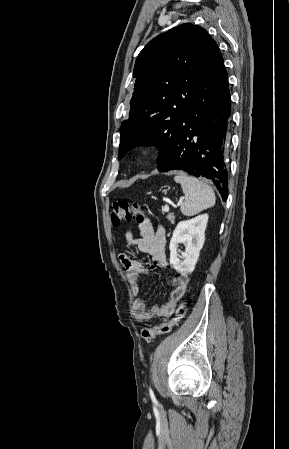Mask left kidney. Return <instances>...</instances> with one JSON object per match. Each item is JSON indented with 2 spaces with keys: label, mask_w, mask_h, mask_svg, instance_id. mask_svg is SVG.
I'll list each match as a JSON object with an SVG mask.
<instances>
[{
  "label": "left kidney",
  "mask_w": 289,
  "mask_h": 449,
  "mask_svg": "<svg viewBox=\"0 0 289 449\" xmlns=\"http://www.w3.org/2000/svg\"><path fill=\"white\" fill-rule=\"evenodd\" d=\"M208 214H201L177 224L170 241V264L181 274L193 272L199 253L204 245ZM185 246V252L178 254V244ZM181 258L182 260H180Z\"/></svg>",
  "instance_id": "left-kidney-1"
}]
</instances>
